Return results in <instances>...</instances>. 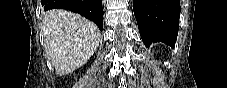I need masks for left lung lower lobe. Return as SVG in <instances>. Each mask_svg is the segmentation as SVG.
I'll list each match as a JSON object with an SVG mask.
<instances>
[{
	"label": "left lung lower lobe",
	"instance_id": "1",
	"mask_svg": "<svg viewBox=\"0 0 227 88\" xmlns=\"http://www.w3.org/2000/svg\"><path fill=\"white\" fill-rule=\"evenodd\" d=\"M133 10L145 46L155 42L175 46L180 17L179 0H134Z\"/></svg>",
	"mask_w": 227,
	"mask_h": 88
}]
</instances>
